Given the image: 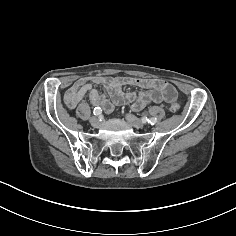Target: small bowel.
Listing matches in <instances>:
<instances>
[{
    "mask_svg": "<svg viewBox=\"0 0 236 236\" xmlns=\"http://www.w3.org/2000/svg\"><path fill=\"white\" fill-rule=\"evenodd\" d=\"M94 84L104 86L110 98L96 90ZM125 86L138 87L141 91L126 93L123 91ZM86 95L93 106L99 107L106 113L111 112L115 105L125 102H132L135 110H141L151 103H173L177 99L175 87L159 79L132 76H93L89 79H79L71 85L65 93V102L70 108H74Z\"/></svg>",
    "mask_w": 236,
    "mask_h": 236,
    "instance_id": "c3829d8e",
    "label": "small bowel"
}]
</instances>
